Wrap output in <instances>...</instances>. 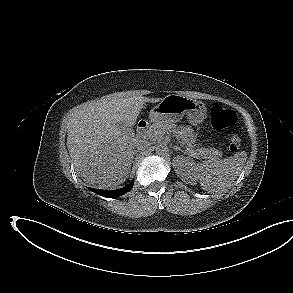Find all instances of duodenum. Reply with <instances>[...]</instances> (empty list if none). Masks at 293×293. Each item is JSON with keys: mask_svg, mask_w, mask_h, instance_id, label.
<instances>
[{"mask_svg": "<svg viewBox=\"0 0 293 293\" xmlns=\"http://www.w3.org/2000/svg\"><path fill=\"white\" fill-rule=\"evenodd\" d=\"M148 126H149V124L145 120H142V121H140L138 123V125H137V137L139 139L144 137V135H145V133H146V131L148 129Z\"/></svg>", "mask_w": 293, "mask_h": 293, "instance_id": "obj_1", "label": "duodenum"}]
</instances>
